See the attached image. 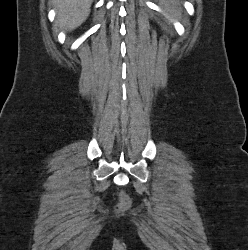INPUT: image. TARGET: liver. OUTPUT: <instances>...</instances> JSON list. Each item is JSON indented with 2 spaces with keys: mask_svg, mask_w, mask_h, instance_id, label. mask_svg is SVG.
<instances>
[{
  "mask_svg": "<svg viewBox=\"0 0 248 250\" xmlns=\"http://www.w3.org/2000/svg\"><path fill=\"white\" fill-rule=\"evenodd\" d=\"M53 3L57 8L56 23L70 31L87 19L92 0H53Z\"/></svg>",
  "mask_w": 248,
  "mask_h": 250,
  "instance_id": "obj_1",
  "label": "liver"
}]
</instances>
